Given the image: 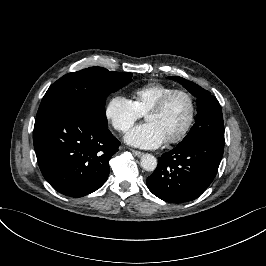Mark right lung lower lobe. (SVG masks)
<instances>
[{
  "instance_id": "right-lung-lower-lobe-1",
  "label": "right lung lower lobe",
  "mask_w": 266,
  "mask_h": 266,
  "mask_svg": "<svg viewBox=\"0 0 266 266\" xmlns=\"http://www.w3.org/2000/svg\"><path fill=\"white\" fill-rule=\"evenodd\" d=\"M34 148L48 183L70 197H82L107 180L109 160L120 142L102 127L73 109L58 108L35 120Z\"/></svg>"
}]
</instances>
